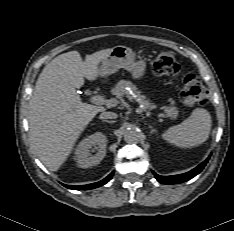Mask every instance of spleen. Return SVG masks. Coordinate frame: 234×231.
Segmentation results:
<instances>
[{"label":"spleen","mask_w":234,"mask_h":231,"mask_svg":"<svg viewBox=\"0 0 234 231\" xmlns=\"http://www.w3.org/2000/svg\"><path fill=\"white\" fill-rule=\"evenodd\" d=\"M211 122V115L206 109L196 108L181 124L166 130L162 138L180 148H193L207 140Z\"/></svg>","instance_id":"3e777b00"}]
</instances>
